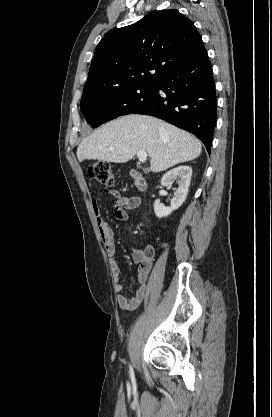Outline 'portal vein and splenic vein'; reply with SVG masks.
Here are the masks:
<instances>
[{
    "mask_svg": "<svg viewBox=\"0 0 272 417\" xmlns=\"http://www.w3.org/2000/svg\"><path fill=\"white\" fill-rule=\"evenodd\" d=\"M137 157L139 159L140 162H145L147 159V153L144 150H141L139 152H137Z\"/></svg>",
    "mask_w": 272,
    "mask_h": 417,
    "instance_id": "obj_1",
    "label": "portal vein and splenic vein"
}]
</instances>
